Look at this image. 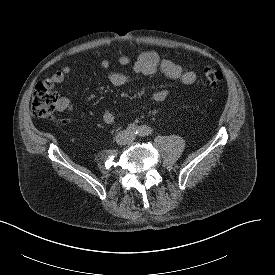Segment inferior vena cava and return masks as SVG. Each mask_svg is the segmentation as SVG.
I'll list each match as a JSON object with an SVG mask.
<instances>
[{"label": "inferior vena cava", "instance_id": "obj_1", "mask_svg": "<svg viewBox=\"0 0 275 275\" xmlns=\"http://www.w3.org/2000/svg\"><path fill=\"white\" fill-rule=\"evenodd\" d=\"M130 141H131V138L125 131L119 132L118 135L116 136V142L118 144H126V143H129Z\"/></svg>", "mask_w": 275, "mask_h": 275}]
</instances>
